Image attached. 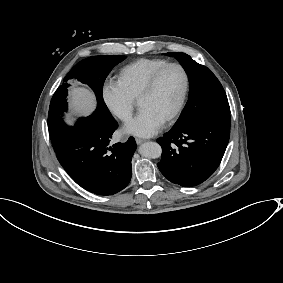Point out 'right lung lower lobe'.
I'll return each instance as SVG.
<instances>
[{"label":"right lung lower lobe","mask_w":283,"mask_h":283,"mask_svg":"<svg viewBox=\"0 0 283 283\" xmlns=\"http://www.w3.org/2000/svg\"><path fill=\"white\" fill-rule=\"evenodd\" d=\"M118 127L112 115L92 114L72 129V137L57 159L82 188L98 195H112L124 189L132 176L131 159L136 142L109 146Z\"/></svg>","instance_id":"98d812e1"}]
</instances>
